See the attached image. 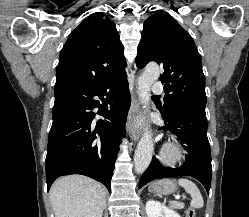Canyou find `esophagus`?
<instances>
[{
    "label": "esophagus",
    "instance_id": "34e87169",
    "mask_svg": "<svg viewBox=\"0 0 249 217\" xmlns=\"http://www.w3.org/2000/svg\"><path fill=\"white\" fill-rule=\"evenodd\" d=\"M139 113H140V103L137 100L136 95H135L132 106L129 110L128 119H127L128 134H129L130 139L133 141H137L140 137V131L138 128V123H137V118H138Z\"/></svg>",
    "mask_w": 249,
    "mask_h": 217
}]
</instances>
